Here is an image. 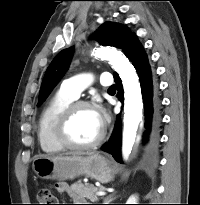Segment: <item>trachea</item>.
I'll return each instance as SVG.
<instances>
[{"label":"trachea","mask_w":200,"mask_h":205,"mask_svg":"<svg viewBox=\"0 0 200 205\" xmlns=\"http://www.w3.org/2000/svg\"><path fill=\"white\" fill-rule=\"evenodd\" d=\"M108 90H115V85L110 86Z\"/></svg>","instance_id":"trachea-1"}]
</instances>
